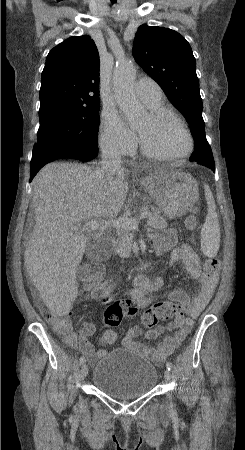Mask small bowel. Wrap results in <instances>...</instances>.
Listing matches in <instances>:
<instances>
[{"mask_svg":"<svg viewBox=\"0 0 245 450\" xmlns=\"http://www.w3.org/2000/svg\"><path fill=\"white\" fill-rule=\"evenodd\" d=\"M152 239L156 256H162L166 252L171 251L169 265L173 266L178 262L182 263L190 276L199 280L201 285L198 294L192 298L180 289H175L167 295L170 301L182 304L183 310L186 313L183 321L178 322L172 320L164 325H157L155 328L148 329L146 332L140 328H133L123 337L121 341L123 346L131 349H142L146 354L160 362L182 343L193 327L194 320L205 309L218 283V274L212 275L203 270L199 254L189 244H179L175 230L167 229L161 233L153 234ZM100 279V286L90 288L84 285V292L94 300L111 299L112 291L116 286L115 283L104 280L102 274ZM163 285V278L151 280L142 274L138 275L130 291V297L135 307L138 309L149 308L154 297H156ZM95 332V324L87 322L78 331L66 334L63 337V342L71 348L79 349L93 360L105 353L103 349L95 351L93 345L88 340V337L92 336ZM164 332H170V334L165 336L156 348H152L137 340L142 335L148 339H155ZM99 343L101 345L107 344L104 336L100 338Z\"/></svg>","mask_w":245,"mask_h":450,"instance_id":"obj_1","label":"small bowel"}]
</instances>
